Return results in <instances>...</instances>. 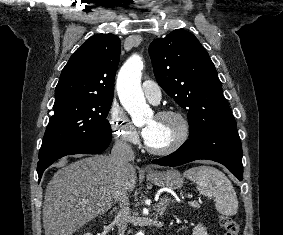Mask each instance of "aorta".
Here are the masks:
<instances>
[{"mask_svg": "<svg viewBox=\"0 0 283 235\" xmlns=\"http://www.w3.org/2000/svg\"><path fill=\"white\" fill-rule=\"evenodd\" d=\"M143 66L140 56H131L120 69L116 83L120 102L135 124L144 122L152 114L140 86ZM136 235H145V233L140 230Z\"/></svg>", "mask_w": 283, "mask_h": 235, "instance_id": "aorta-1", "label": "aorta"}]
</instances>
